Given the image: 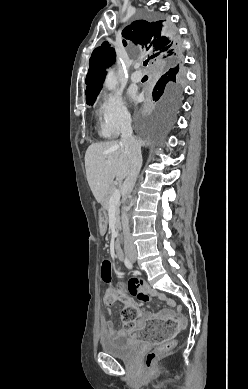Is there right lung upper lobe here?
<instances>
[{
    "mask_svg": "<svg viewBox=\"0 0 248 389\" xmlns=\"http://www.w3.org/2000/svg\"><path fill=\"white\" fill-rule=\"evenodd\" d=\"M122 36L126 40L132 41L135 45H141L142 48L151 54L149 59L155 58L159 67L166 72L173 65L180 64L181 62V46L179 43L178 48L174 45L167 31L166 24L162 23V21H134L131 25L124 28ZM123 44L126 45L125 40H123ZM115 56V50L110 47L108 42H103L101 46L94 49L89 60V70L86 76V98L101 90L106 75L105 69L115 61Z\"/></svg>",
    "mask_w": 248,
    "mask_h": 389,
    "instance_id": "right-lung-upper-lobe-1",
    "label": "right lung upper lobe"
}]
</instances>
